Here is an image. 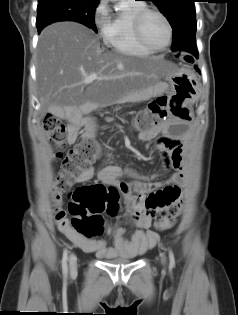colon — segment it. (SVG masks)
<instances>
[{"instance_id": "5ec220e1", "label": "colon", "mask_w": 238, "mask_h": 315, "mask_svg": "<svg viewBox=\"0 0 238 315\" xmlns=\"http://www.w3.org/2000/svg\"><path fill=\"white\" fill-rule=\"evenodd\" d=\"M183 59L194 63V59L189 55L183 56ZM195 69L200 72L198 67ZM166 105V96L152 101L136 116V129L140 132L155 129L167 115ZM44 130L56 148V158L62 162V169L55 180L56 187L66 189L76 176L94 162L99 150L98 143L92 136H85L63 155L67 139L66 125L54 115L48 114L44 119ZM118 199L119 191L114 186L91 185L75 189L69 205L70 213L73 215L72 227L87 238L98 236L103 230L102 214L107 212L115 215L119 206ZM170 226L169 220H161L158 224L160 229H167Z\"/></svg>"}]
</instances>
